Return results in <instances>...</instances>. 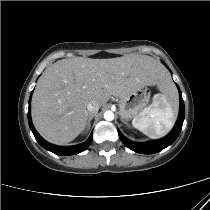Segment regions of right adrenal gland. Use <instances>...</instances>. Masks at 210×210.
Listing matches in <instances>:
<instances>
[{
    "mask_svg": "<svg viewBox=\"0 0 210 210\" xmlns=\"http://www.w3.org/2000/svg\"><path fill=\"white\" fill-rule=\"evenodd\" d=\"M94 115H90L89 116V119H88V122H87V125L85 127V131L89 130L90 126H91V120L93 119Z\"/></svg>",
    "mask_w": 210,
    "mask_h": 210,
    "instance_id": "1",
    "label": "right adrenal gland"
}]
</instances>
